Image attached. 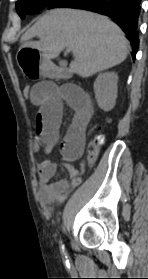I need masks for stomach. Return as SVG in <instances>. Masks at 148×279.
<instances>
[{
	"mask_svg": "<svg viewBox=\"0 0 148 279\" xmlns=\"http://www.w3.org/2000/svg\"><path fill=\"white\" fill-rule=\"evenodd\" d=\"M15 59L27 82H52L54 70L44 50H16Z\"/></svg>",
	"mask_w": 148,
	"mask_h": 279,
	"instance_id": "0dacf381",
	"label": "stomach"
}]
</instances>
